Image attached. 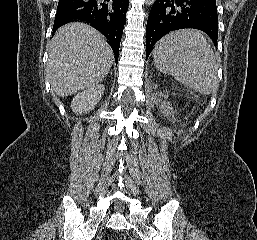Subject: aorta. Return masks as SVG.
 <instances>
[{
    "mask_svg": "<svg viewBox=\"0 0 257 240\" xmlns=\"http://www.w3.org/2000/svg\"><path fill=\"white\" fill-rule=\"evenodd\" d=\"M154 2H155V0H146V4L148 6H151Z\"/></svg>",
    "mask_w": 257,
    "mask_h": 240,
    "instance_id": "obj_1",
    "label": "aorta"
}]
</instances>
